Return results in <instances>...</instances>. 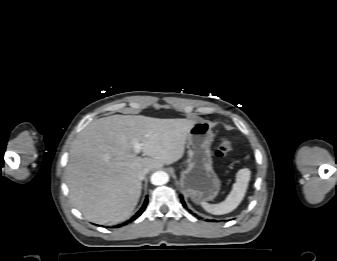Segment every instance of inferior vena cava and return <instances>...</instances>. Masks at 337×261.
<instances>
[{"instance_id":"602c4592","label":"inferior vena cava","mask_w":337,"mask_h":261,"mask_svg":"<svg viewBox=\"0 0 337 261\" xmlns=\"http://www.w3.org/2000/svg\"><path fill=\"white\" fill-rule=\"evenodd\" d=\"M148 172H149V169H148V168L142 169V170L139 171V173H138V178H139L140 180H143Z\"/></svg>"}]
</instances>
